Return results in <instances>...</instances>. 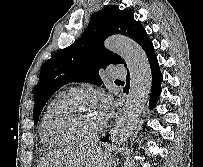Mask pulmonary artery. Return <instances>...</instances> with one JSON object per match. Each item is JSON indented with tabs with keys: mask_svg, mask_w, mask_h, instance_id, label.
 Wrapping results in <instances>:
<instances>
[{
	"mask_svg": "<svg viewBox=\"0 0 203 167\" xmlns=\"http://www.w3.org/2000/svg\"><path fill=\"white\" fill-rule=\"evenodd\" d=\"M108 75L113 78L125 77L126 71L123 67L117 65H111L107 69Z\"/></svg>",
	"mask_w": 203,
	"mask_h": 167,
	"instance_id": "e3ab8cb5",
	"label": "pulmonary artery"
}]
</instances>
